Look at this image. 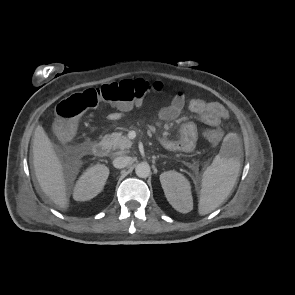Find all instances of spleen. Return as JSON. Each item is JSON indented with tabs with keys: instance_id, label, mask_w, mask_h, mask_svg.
<instances>
[{
	"instance_id": "obj_1",
	"label": "spleen",
	"mask_w": 295,
	"mask_h": 295,
	"mask_svg": "<svg viewBox=\"0 0 295 295\" xmlns=\"http://www.w3.org/2000/svg\"><path fill=\"white\" fill-rule=\"evenodd\" d=\"M239 150L234 133L225 136L221 150L202 176L198 212L206 215L214 211L231 192L240 170V161L234 154Z\"/></svg>"
}]
</instances>
